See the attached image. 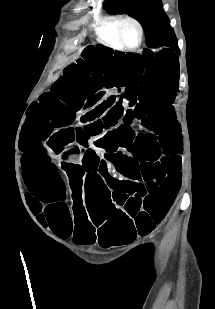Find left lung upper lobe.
Returning a JSON list of instances; mask_svg holds the SVG:
<instances>
[{
	"instance_id": "obj_1",
	"label": "left lung upper lobe",
	"mask_w": 215,
	"mask_h": 309,
	"mask_svg": "<svg viewBox=\"0 0 215 309\" xmlns=\"http://www.w3.org/2000/svg\"><path fill=\"white\" fill-rule=\"evenodd\" d=\"M105 5L110 10L133 15L144 28L148 47H177L176 36L160 0H107Z\"/></svg>"
}]
</instances>
